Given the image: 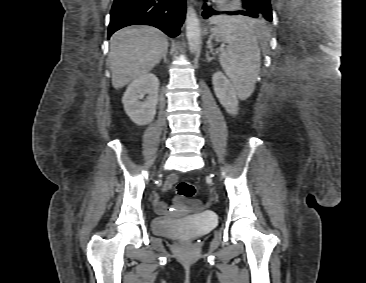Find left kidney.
Returning <instances> with one entry per match:
<instances>
[{
	"label": "left kidney",
	"instance_id": "left-kidney-1",
	"mask_svg": "<svg viewBox=\"0 0 366 283\" xmlns=\"http://www.w3.org/2000/svg\"><path fill=\"white\" fill-rule=\"evenodd\" d=\"M214 92L219 99L220 104L231 115H236L238 112V97L237 92L232 83L220 71L216 72L213 77Z\"/></svg>",
	"mask_w": 366,
	"mask_h": 283
}]
</instances>
